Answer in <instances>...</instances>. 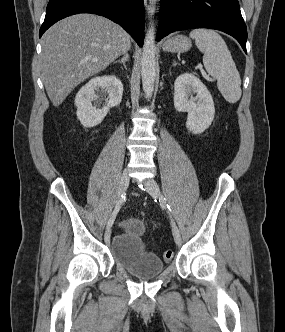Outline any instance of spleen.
<instances>
[{
	"instance_id": "1",
	"label": "spleen",
	"mask_w": 285,
	"mask_h": 332,
	"mask_svg": "<svg viewBox=\"0 0 285 332\" xmlns=\"http://www.w3.org/2000/svg\"><path fill=\"white\" fill-rule=\"evenodd\" d=\"M190 37L204 54L206 71L215 79L224 99L236 103L242 94L241 78L224 39L212 29H194Z\"/></svg>"
}]
</instances>
